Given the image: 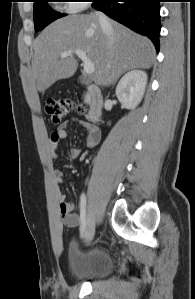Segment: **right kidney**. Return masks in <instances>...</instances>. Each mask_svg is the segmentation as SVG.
Listing matches in <instances>:
<instances>
[{
  "instance_id": "ca27d5eb",
  "label": "right kidney",
  "mask_w": 195,
  "mask_h": 299,
  "mask_svg": "<svg viewBox=\"0 0 195 299\" xmlns=\"http://www.w3.org/2000/svg\"><path fill=\"white\" fill-rule=\"evenodd\" d=\"M147 85V74L142 70H131L119 81L116 96L126 109H135L141 102Z\"/></svg>"
}]
</instances>
